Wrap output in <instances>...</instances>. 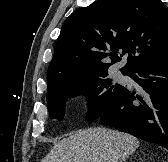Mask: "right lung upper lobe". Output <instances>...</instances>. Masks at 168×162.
<instances>
[{
  "label": "right lung upper lobe",
  "instance_id": "1",
  "mask_svg": "<svg viewBox=\"0 0 168 162\" xmlns=\"http://www.w3.org/2000/svg\"><path fill=\"white\" fill-rule=\"evenodd\" d=\"M167 53L168 9L160 0H98L65 20L48 67V87L107 72L125 54L122 73Z\"/></svg>",
  "mask_w": 168,
  "mask_h": 162
}]
</instances>
